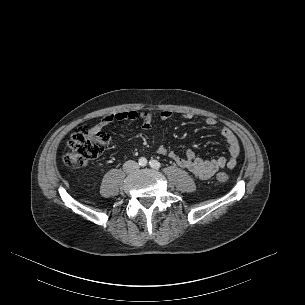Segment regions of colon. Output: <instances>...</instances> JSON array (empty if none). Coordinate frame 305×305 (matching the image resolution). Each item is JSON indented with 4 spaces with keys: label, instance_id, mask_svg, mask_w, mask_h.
Segmentation results:
<instances>
[{
    "label": "colon",
    "instance_id": "colon-1",
    "mask_svg": "<svg viewBox=\"0 0 305 305\" xmlns=\"http://www.w3.org/2000/svg\"><path fill=\"white\" fill-rule=\"evenodd\" d=\"M110 143V135L93 128L83 127L78 129L69 139V150L63 156V163L68 168H82L90 161L98 158ZM218 183L228 180L226 172H219L215 176Z\"/></svg>",
    "mask_w": 305,
    "mask_h": 305
}]
</instances>
